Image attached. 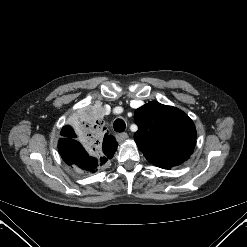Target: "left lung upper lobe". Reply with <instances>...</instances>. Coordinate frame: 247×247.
I'll use <instances>...</instances> for the list:
<instances>
[{
	"label": "left lung upper lobe",
	"mask_w": 247,
	"mask_h": 247,
	"mask_svg": "<svg viewBox=\"0 0 247 247\" xmlns=\"http://www.w3.org/2000/svg\"><path fill=\"white\" fill-rule=\"evenodd\" d=\"M138 131L134 140L145 158L159 167L178 166L196 144L193 121L183 111L149 102L135 111Z\"/></svg>",
	"instance_id": "left-lung-upper-lobe-1"
}]
</instances>
